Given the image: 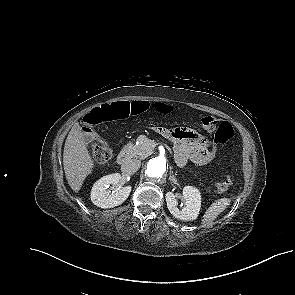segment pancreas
Returning a JSON list of instances; mask_svg holds the SVG:
<instances>
[{
  "instance_id": "1",
  "label": "pancreas",
  "mask_w": 295,
  "mask_h": 295,
  "mask_svg": "<svg viewBox=\"0 0 295 295\" xmlns=\"http://www.w3.org/2000/svg\"><path fill=\"white\" fill-rule=\"evenodd\" d=\"M137 142V144L131 145L128 148V152L131 157L144 159L152 153L154 145L153 140H150L145 135H140Z\"/></svg>"
}]
</instances>
